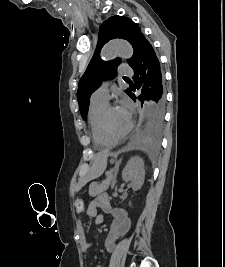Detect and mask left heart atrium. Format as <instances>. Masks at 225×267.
<instances>
[{
	"label": "left heart atrium",
	"instance_id": "obj_1",
	"mask_svg": "<svg viewBox=\"0 0 225 267\" xmlns=\"http://www.w3.org/2000/svg\"><path fill=\"white\" fill-rule=\"evenodd\" d=\"M118 109L120 110V112L122 113L124 118L130 122V119H131V105H130V102L125 98L122 99Z\"/></svg>",
	"mask_w": 225,
	"mask_h": 267
}]
</instances>
